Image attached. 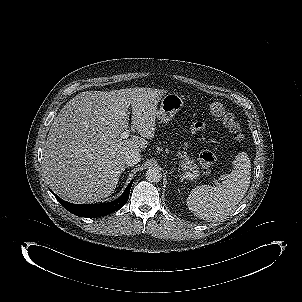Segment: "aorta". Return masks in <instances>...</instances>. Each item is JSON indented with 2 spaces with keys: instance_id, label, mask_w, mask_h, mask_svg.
<instances>
[{
  "instance_id": "762f6f07",
  "label": "aorta",
  "mask_w": 302,
  "mask_h": 302,
  "mask_svg": "<svg viewBox=\"0 0 302 302\" xmlns=\"http://www.w3.org/2000/svg\"><path fill=\"white\" fill-rule=\"evenodd\" d=\"M146 179L151 183H158L162 179V173L157 167H150L146 171Z\"/></svg>"
}]
</instances>
